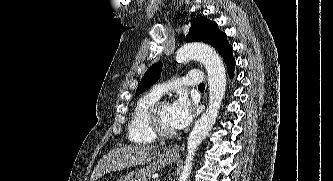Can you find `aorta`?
I'll return each instance as SVG.
<instances>
[{
    "label": "aorta",
    "mask_w": 333,
    "mask_h": 181,
    "mask_svg": "<svg viewBox=\"0 0 333 181\" xmlns=\"http://www.w3.org/2000/svg\"><path fill=\"white\" fill-rule=\"evenodd\" d=\"M196 59L201 62L208 74L209 105L196 121L187 141V154L183 170L178 181H187L198 146L212 129L218 116L226 90V71L218 53L208 45L194 43L181 47L176 54L178 62Z\"/></svg>",
    "instance_id": "1"
}]
</instances>
